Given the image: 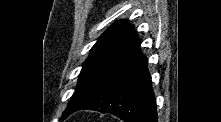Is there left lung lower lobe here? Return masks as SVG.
Here are the masks:
<instances>
[{"label":"left lung lower lobe","mask_w":221,"mask_h":122,"mask_svg":"<svg viewBox=\"0 0 221 122\" xmlns=\"http://www.w3.org/2000/svg\"><path fill=\"white\" fill-rule=\"evenodd\" d=\"M133 33L122 57L95 94L78 110L111 113L126 122H157L147 59Z\"/></svg>","instance_id":"0a47b994"}]
</instances>
